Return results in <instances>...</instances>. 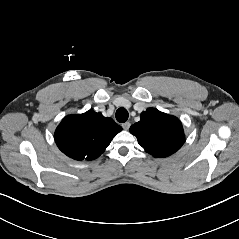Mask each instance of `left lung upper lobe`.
<instances>
[{
	"label": "left lung upper lobe",
	"mask_w": 239,
	"mask_h": 239,
	"mask_svg": "<svg viewBox=\"0 0 239 239\" xmlns=\"http://www.w3.org/2000/svg\"><path fill=\"white\" fill-rule=\"evenodd\" d=\"M144 150L155 157H167L175 153L184 143L185 136L178 118L148 108L140 121L130 127Z\"/></svg>",
	"instance_id": "5c2ea615"
}]
</instances>
